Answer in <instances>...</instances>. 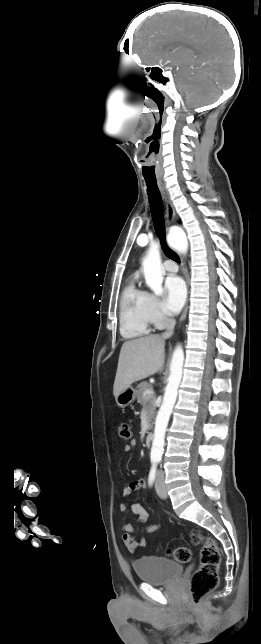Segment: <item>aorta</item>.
<instances>
[{
	"label": "aorta",
	"mask_w": 261,
	"mask_h": 644,
	"mask_svg": "<svg viewBox=\"0 0 261 644\" xmlns=\"http://www.w3.org/2000/svg\"><path fill=\"white\" fill-rule=\"evenodd\" d=\"M168 240L172 245L175 246H185L187 243L186 236L183 232H177L174 229H171L168 235ZM143 270L146 285L154 292L156 295H162L163 288V275L164 268L161 264V255L159 246L156 243H151L150 248L147 252V255L143 259ZM184 361V352L181 346H177L173 352L172 360L170 364V375L168 379V384L166 386L165 394L163 397L162 405L158 411L155 429H154V438L151 448V458L157 459L161 458L163 454V448L165 443V434L168 426V421L176 402L178 387L182 379V367Z\"/></svg>",
	"instance_id": "762f6f07"
}]
</instances>
